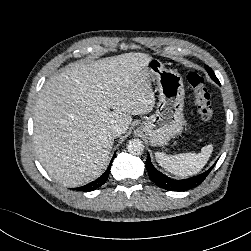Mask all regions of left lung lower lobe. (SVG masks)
<instances>
[{
  "mask_svg": "<svg viewBox=\"0 0 251 251\" xmlns=\"http://www.w3.org/2000/svg\"><path fill=\"white\" fill-rule=\"evenodd\" d=\"M217 83L219 84V81H217ZM146 168H147L150 179L160 188H163L165 190H170V191H185V190H189L200 185L205 180L207 175L210 173L213 166L200 175H197L188 179H184V180H174L165 176L161 172H159L152 165L149 155L146 160Z\"/></svg>",
  "mask_w": 251,
  "mask_h": 251,
  "instance_id": "left-lung-lower-lobe-1",
  "label": "left lung lower lobe"
}]
</instances>
